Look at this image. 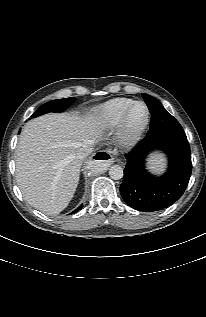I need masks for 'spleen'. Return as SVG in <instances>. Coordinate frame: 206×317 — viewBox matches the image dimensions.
Returning a JSON list of instances; mask_svg holds the SVG:
<instances>
[{
	"label": "spleen",
	"mask_w": 206,
	"mask_h": 317,
	"mask_svg": "<svg viewBox=\"0 0 206 317\" xmlns=\"http://www.w3.org/2000/svg\"><path fill=\"white\" fill-rule=\"evenodd\" d=\"M161 167V160H158V158H155L152 161V166L150 167L153 170H159Z\"/></svg>",
	"instance_id": "obj_1"
}]
</instances>
